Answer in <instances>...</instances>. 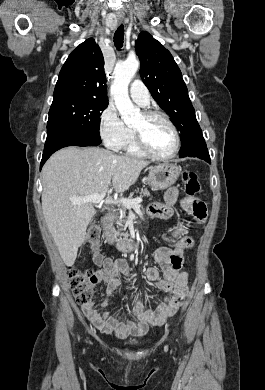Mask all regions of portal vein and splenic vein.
Listing matches in <instances>:
<instances>
[{
	"label": "portal vein and splenic vein",
	"instance_id": "1",
	"mask_svg": "<svg viewBox=\"0 0 265 390\" xmlns=\"http://www.w3.org/2000/svg\"><path fill=\"white\" fill-rule=\"evenodd\" d=\"M107 192H104L102 194H94L91 196H86L82 198H71L70 201L73 204H85V203H94V204H99L104 202L105 204H122V206L126 208H133L135 206H138L140 202H142L141 198H135V199H127V198H122L119 200H113L112 198H105Z\"/></svg>",
	"mask_w": 265,
	"mask_h": 390
}]
</instances>
